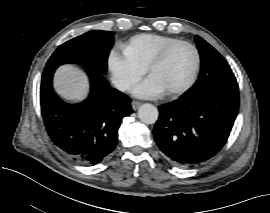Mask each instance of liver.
Segmentation results:
<instances>
[{
    "instance_id": "6515ba94",
    "label": "liver",
    "mask_w": 270,
    "mask_h": 213,
    "mask_svg": "<svg viewBox=\"0 0 270 213\" xmlns=\"http://www.w3.org/2000/svg\"><path fill=\"white\" fill-rule=\"evenodd\" d=\"M54 87L59 95L72 101L83 100L89 90L86 76L73 65H65L57 70Z\"/></svg>"
}]
</instances>
